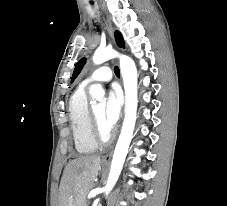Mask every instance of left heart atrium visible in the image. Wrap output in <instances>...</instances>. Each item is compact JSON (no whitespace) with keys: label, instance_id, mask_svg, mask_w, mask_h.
Here are the masks:
<instances>
[{"label":"left heart atrium","instance_id":"1","mask_svg":"<svg viewBox=\"0 0 227 206\" xmlns=\"http://www.w3.org/2000/svg\"><path fill=\"white\" fill-rule=\"evenodd\" d=\"M122 108V95L118 89L109 92L104 109L103 121L110 131L117 123Z\"/></svg>","mask_w":227,"mask_h":206}]
</instances>
